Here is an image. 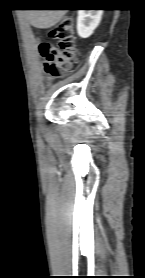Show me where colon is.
<instances>
[{
  "mask_svg": "<svg viewBox=\"0 0 145 278\" xmlns=\"http://www.w3.org/2000/svg\"><path fill=\"white\" fill-rule=\"evenodd\" d=\"M72 28L71 17L64 16L48 31V40L39 43V51L44 58L43 68L51 77L65 76L76 62L78 46Z\"/></svg>",
  "mask_w": 145,
  "mask_h": 278,
  "instance_id": "obj_1",
  "label": "colon"
}]
</instances>
